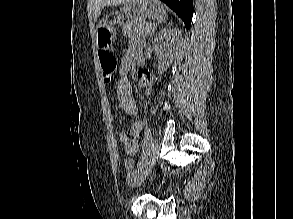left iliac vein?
<instances>
[{
	"instance_id": "1",
	"label": "left iliac vein",
	"mask_w": 293,
	"mask_h": 219,
	"mask_svg": "<svg viewBox=\"0 0 293 219\" xmlns=\"http://www.w3.org/2000/svg\"><path fill=\"white\" fill-rule=\"evenodd\" d=\"M158 147L156 142L154 141V139H152V144H151V158L148 161V163L145 165V167L143 169H141V173L139 176V183L138 185H140L141 183L144 182V180L146 179V177L148 176V174L151 172L154 164L156 163V160L158 159Z\"/></svg>"
}]
</instances>
